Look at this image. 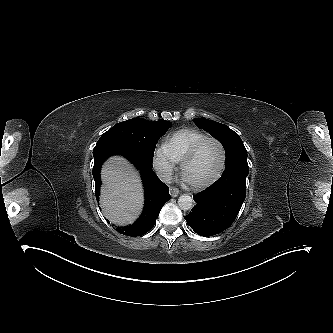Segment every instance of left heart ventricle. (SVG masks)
Wrapping results in <instances>:
<instances>
[{
  "label": "left heart ventricle",
  "instance_id": "left-heart-ventricle-1",
  "mask_svg": "<svg viewBox=\"0 0 333 333\" xmlns=\"http://www.w3.org/2000/svg\"><path fill=\"white\" fill-rule=\"evenodd\" d=\"M221 151L214 141L206 142L197 155L188 162L185 176L188 181L198 183L211 178L219 168Z\"/></svg>",
  "mask_w": 333,
  "mask_h": 333
}]
</instances>
